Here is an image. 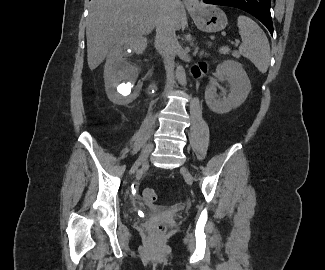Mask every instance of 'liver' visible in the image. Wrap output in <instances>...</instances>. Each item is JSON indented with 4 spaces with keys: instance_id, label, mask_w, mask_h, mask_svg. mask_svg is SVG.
<instances>
[{
    "instance_id": "6515ba94",
    "label": "liver",
    "mask_w": 325,
    "mask_h": 270,
    "mask_svg": "<svg viewBox=\"0 0 325 270\" xmlns=\"http://www.w3.org/2000/svg\"><path fill=\"white\" fill-rule=\"evenodd\" d=\"M161 13V0H91L86 26L87 61L96 69L115 45L146 47L143 38L152 32ZM175 29L186 23V11L179 1L173 6Z\"/></svg>"
}]
</instances>
